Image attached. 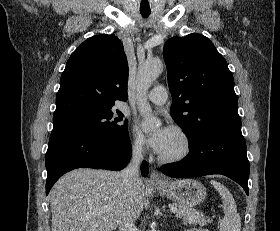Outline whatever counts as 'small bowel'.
Masks as SVG:
<instances>
[{"label":"small bowel","mask_w":280,"mask_h":231,"mask_svg":"<svg viewBox=\"0 0 280 231\" xmlns=\"http://www.w3.org/2000/svg\"><path fill=\"white\" fill-rule=\"evenodd\" d=\"M189 231H198L197 229H189Z\"/></svg>","instance_id":"1"}]
</instances>
